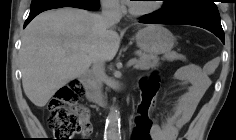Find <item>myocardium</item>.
<instances>
[{"mask_svg": "<svg viewBox=\"0 0 236 140\" xmlns=\"http://www.w3.org/2000/svg\"><path fill=\"white\" fill-rule=\"evenodd\" d=\"M161 7L162 4L160 2H157L147 8H136L133 4H129V12L135 16H145L158 11Z\"/></svg>", "mask_w": 236, "mask_h": 140, "instance_id": "obj_1", "label": "myocardium"}]
</instances>
